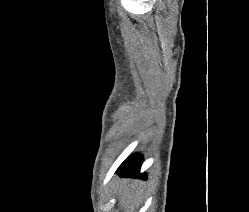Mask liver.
I'll use <instances>...</instances> for the list:
<instances>
[{
    "label": "liver",
    "mask_w": 249,
    "mask_h": 212,
    "mask_svg": "<svg viewBox=\"0 0 249 212\" xmlns=\"http://www.w3.org/2000/svg\"><path fill=\"white\" fill-rule=\"evenodd\" d=\"M142 186L143 182H139V180H135L131 184L128 178L120 180L116 186L119 194L118 208L123 210V212H134L143 198L144 192Z\"/></svg>",
    "instance_id": "obj_1"
}]
</instances>
